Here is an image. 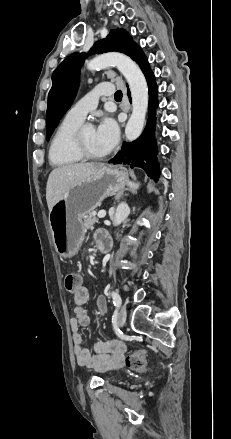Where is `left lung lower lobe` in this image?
<instances>
[{
  "label": "left lung lower lobe",
  "mask_w": 231,
  "mask_h": 439,
  "mask_svg": "<svg viewBox=\"0 0 231 439\" xmlns=\"http://www.w3.org/2000/svg\"><path fill=\"white\" fill-rule=\"evenodd\" d=\"M144 73L149 88V118L143 134L135 141L124 143L121 151L109 161L113 164H127L131 168L140 167L155 181L159 178V164L157 162V146L155 142L156 110L158 106L157 85L154 74L149 67L148 60L143 52L135 59ZM128 95L129 91H128Z\"/></svg>",
  "instance_id": "obj_1"
}]
</instances>
